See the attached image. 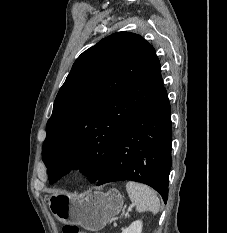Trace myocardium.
<instances>
[{"label":"myocardium","mask_w":227,"mask_h":233,"mask_svg":"<svg viewBox=\"0 0 227 233\" xmlns=\"http://www.w3.org/2000/svg\"><path fill=\"white\" fill-rule=\"evenodd\" d=\"M88 166V162L85 159H79L74 164V172L75 174H82Z\"/></svg>","instance_id":"1"}]
</instances>
